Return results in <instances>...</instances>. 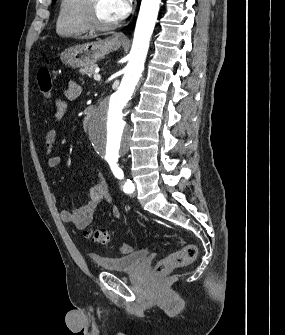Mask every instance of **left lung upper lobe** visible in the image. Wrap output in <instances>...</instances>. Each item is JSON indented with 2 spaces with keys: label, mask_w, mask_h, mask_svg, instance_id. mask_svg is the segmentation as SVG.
Instances as JSON below:
<instances>
[{
  "label": "left lung upper lobe",
  "mask_w": 285,
  "mask_h": 335,
  "mask_svg": "<svg viewBox=\"0 0 285 335\" xmlns=\"http://www.w3.org/2000/svg\"><path fill=\"white\" fill-rule=\"evenodd\" d=\"M56 2V0H53L52 4H54Z\"/></svg>",
  "instance_id": "left-lung-upper-lobe-1"
}]
</instances>
